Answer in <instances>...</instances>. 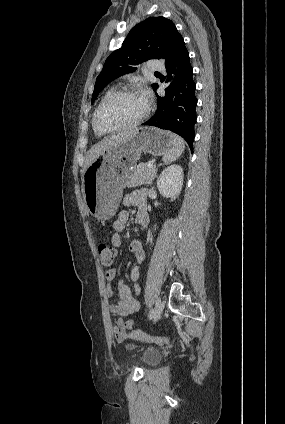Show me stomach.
I'll list each match as a JSON object with an SVG mask.
<instances>
[{"instance_id": "obj_1", "label": "stomach", "mask_w": 285, "mask_h": 424, "mask_svg": "<svg viewBox=\"0 0 285 424\" xmlns=\"http://www.w3.org/2000/svg\"><path fill=\"white\" fill-rule=\"evenodd\" d=\"M174 135L153 127L137 129L122 144L100 154L85 170L82 192L88 212L98 220L110 219L117 211L124 187L142 153L167 154Z\"/></svg>"}]
</instances>
